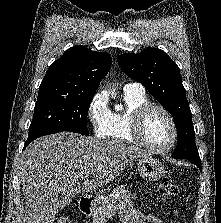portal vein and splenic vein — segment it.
Segmentation results:
<instances>
[{"label":"portal vein and splenic vein","mask_w":221,"mask_h":223,"mask_svg":"<svg viewBox=\"0 0 221 223\" xmlns=\"http://www.w3.org/2000/svg\"><path fill=\"white\" fill-rule=\"evenodd\" d=\"M89 175H84L81 177L82 180L87 181L88 180Z\"/></svg>","instance_id":"obj_1"}]
</instances>
